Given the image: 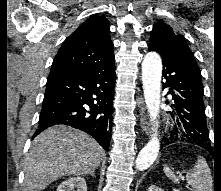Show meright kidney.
Wrapping results in <instances>:
<instances>
[{"label":"right kidney","instance_id":"1","mask_svg":"<svg viewBox=\"0 0 221 191\" xmlns=\"http://www.w3.org/2000/svg\"><path fill=\"white\" fill-rule=\"evenodd\" d=\"M87 191V184L84 178L82 177H73L69 178L66 181L62 182L57 191Z\"/></svg>","mask_w":221,"mask_h":191}]
</instances>
